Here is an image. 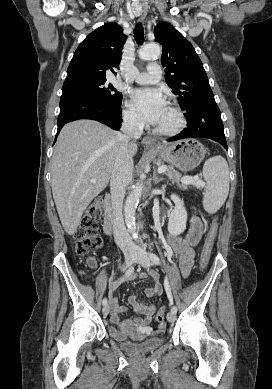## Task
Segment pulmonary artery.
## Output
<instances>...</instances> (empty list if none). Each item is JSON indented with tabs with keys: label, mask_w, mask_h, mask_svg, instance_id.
<instances>
[{
	"label": "pulmonary artery",
	"mask_w": 272,
	"mask_h": 389,
	"mask_svg": "<svg viewBox=\"0 0 272 389\" xmlns=\"http://www.w3.org/2000/svg\"><path fill=\"white\" fill-rule=\"evenodd\" d=\"M161 75V66L156 62H151L147 65L146 71L132 74L130 78L138 84H153L160 80Z\"/></svg>",
	"instance_id": "e3ab8cb5"
}]
</instances>
